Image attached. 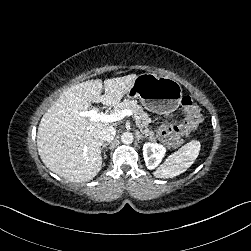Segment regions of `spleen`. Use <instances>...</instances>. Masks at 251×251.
Masks as SVG:
<instances>
[{"instance_id": "3e777b00", "label": "spleen", "mask_w": 251, "mask_h": 251, "mask_svg": "<svg viewBox=\"0 0 251 251\" xmlns=\"http://www.w3.org/2000/svg\"><path fill=\"white\" fill-rule=\"evenodd\" d=\"M200 143L190 141L180 150L170 155L168 159L154 173L156 178L174 177L185 171L198 156Z\"/></svg>"}]
</instances>
